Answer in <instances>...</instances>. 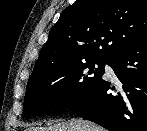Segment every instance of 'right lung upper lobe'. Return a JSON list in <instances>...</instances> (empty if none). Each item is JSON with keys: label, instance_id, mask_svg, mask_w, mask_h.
Returning a JSON list of instances; mask_svg holds the SVG:
<instances>
[{"label": "right lung upper lobe", "instance_id": "obj_1", "mask_svg": "<svg viewBox=\"0 0 147 131\" xmlns=\"http://www.w3.org/2000/svg\"><path fill=\"white\" fill-rule=\"evenodd\" d=\"M147 37V0H77L51 29L32 76L88 59L110 60Z\"/></svg>", "mask_w": 147, "mask_h": 131}]
</instances>
